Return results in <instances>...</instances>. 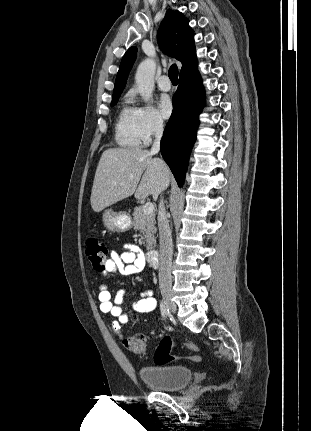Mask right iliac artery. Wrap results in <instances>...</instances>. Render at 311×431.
<instances>
[{
	"label": "right iliac artery",
	"instance_id": "1",
	"mask_svg": "<svg viewBox=\"0 0 311 431\" xmlns=\"http://www.w3.org/2000/svg\"><path fill=\"white\" fill-rule=\"evenodd\" d=\"M160 311L164 318H166L169 315V308L164 301H161L160 303Z\"/></svg>",
	"mask_w": 311,
	"mask_h": 431
}]
</instances>
